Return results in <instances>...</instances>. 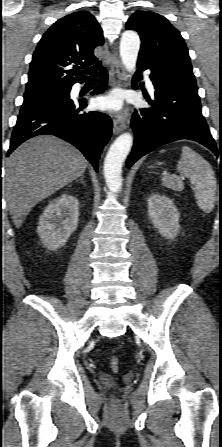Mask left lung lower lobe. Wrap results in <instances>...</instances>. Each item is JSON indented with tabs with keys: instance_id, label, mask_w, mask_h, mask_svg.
Wrapping results in <instances>:
<instances>
[{
	"instance_id": "left-lung-lower-lobe-1",
	"label": "left lung lower lobe",
	"mask_w": 222,
	"mask_h": 447,
	"mask_svg": "<svg viewBox=\"0 0 222 447\" xmlns=\"http://www.w3.org/2000/svg\"><path fill=\"white\" fill-rule=\"evenodd\" d=\"M137 67V80L142 78V71L151 70L150 79L156 91L154 100L145 94L153 106L138 109L133 114L131 126L135 141L127 167L154 149L179 139L194 140L218 156L216 143L201 112L198 94L153 70L144 61H138Z\"/></svg>"
}]
</instances>
